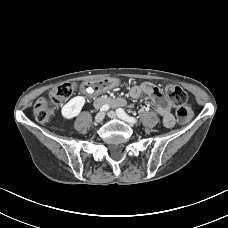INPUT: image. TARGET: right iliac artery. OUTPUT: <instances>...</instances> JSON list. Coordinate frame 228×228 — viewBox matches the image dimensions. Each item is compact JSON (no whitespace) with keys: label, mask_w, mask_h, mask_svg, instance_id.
Listing matches in <instances>:
<instances>
[{"label":"right iliac artery","mask_w":228,"mask_h":228,"mask_svg":"<svg viewBox=\"0 0 228 228\" xmlns=\"http://www.w3.org/2000/svg\"><path fill=\"white\" fill-rule=\"evenodd\" d=\"M109 108L110 106L108 104H105L100 108V111H107Z\"/></svg>","instance_id":"82829eb1"}]
</instances>
